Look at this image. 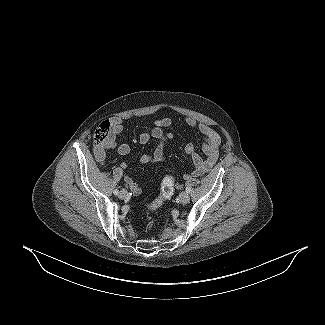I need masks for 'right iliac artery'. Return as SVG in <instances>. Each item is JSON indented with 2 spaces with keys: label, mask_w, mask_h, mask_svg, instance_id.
I'll list each match as a JSON object with an SVG mask.
<instances>
[{
  "label": "right iliac artery",
  "mask_w": 325,
  "mask_h": 325,
  "mask_svg": "<svg viewBox=\"0 0 325 325\" xmlns=\"http://www.w3.org/2000/svg\"><path fill=\"white\" fill-rule=\"evenodd\" d=\"M113 193H114V195H118V194H119V191H118L117 189H115V190L113 191Z\"/></svg>",
  "instance_id": "1"
}]
</instances>
